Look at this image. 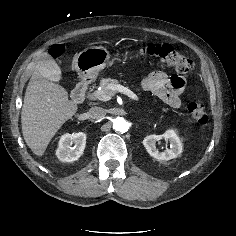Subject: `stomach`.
<instances>
[{"mask_svg": "<svg viewBox=\"0 0 236 236\" xmlns=\"http://www.w3.org/2000/svg\"><path fill=\"white\" fill-rule=\"evenodd\" d=\"M110 60L108 50L102 46L84 49L74 57V67L79 76L94 78L104 69Z\"/></svg>", "mask_w": 236, "mask_h": 236, "instance_id": "0dacf381", "label": "stomach"}]
</instances>
